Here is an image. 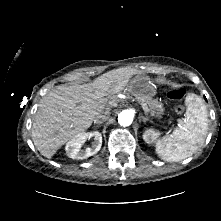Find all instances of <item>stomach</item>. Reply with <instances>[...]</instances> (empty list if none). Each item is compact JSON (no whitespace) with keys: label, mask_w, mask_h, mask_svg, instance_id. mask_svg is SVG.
I'll return each mask as SVG.
<instances>
[{"label":"stomach","mask_w":221,"mask_h":221,"mask_svg":"<svg viewBox=\"0 0 221 221\" xmlns=\"http://www.w3.org/2000/svg\"><path fill=\"white\" fill-rule=\"evenodd\" d=\"M129 89L133 95L147 101H154L159 96L158 87L145 75L133 77L129 82Z\"/></svg>","instance_id":"obj_1"}]
</instances>
